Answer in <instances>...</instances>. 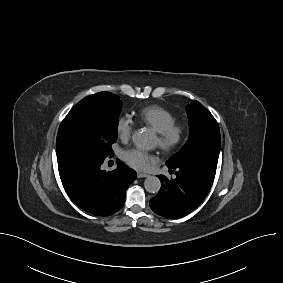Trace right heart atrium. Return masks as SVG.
Returning <instances> with one entry per match:
<instances>
[{"instance_id":"1","label":"right heart atrium","mask_w":283,"mask_h":283,"mask_svg":"<svg viewBox=\"0 0 283 283\" xmlns=\"http://www.w3.org/2000/svg\"><path fill=\"white\" fill-rule=\"evenodd\" d=\"M134 129V122L128 116H121L116 123V132L122 141L130 139Z\"/></svg>"}]
</instances>
